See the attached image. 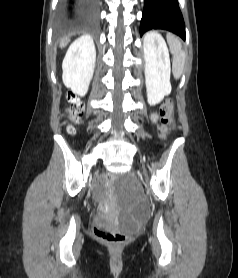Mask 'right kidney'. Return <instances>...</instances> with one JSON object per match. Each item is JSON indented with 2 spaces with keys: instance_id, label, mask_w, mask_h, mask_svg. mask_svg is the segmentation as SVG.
Masks as SVG:
<instances>
[{
  "instance_id": "1",
  "label": "right kidney",
  "mask_w": 238,
  "mask_h": 278,
  "mask_svg": "<svg viewBox=\"0 0 238 278\" xmlns=\"http://www.w3.org/2000/svg\"><path fill=\"white\" fill-rule=\"evenodd\" d=\"M96 61V50L90 36H82L71 44L62 63L63 82L77 95L89 88Z\"/></svg>"
}]
</instances>
